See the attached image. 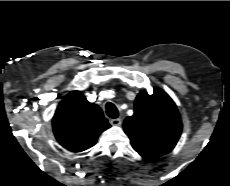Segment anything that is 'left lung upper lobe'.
Returning a JSON list of instances; mask_svg holds the SVG:
<instances>
[{
	"label": "left lung upper lobe",
	"instance_id": "5c2ea615",
	"mask_svg": "<svg viewBox=\"0 0 230 186\" xmlns=\"http://www.w3.org/2000/svg\"><path fill=\"white\" fill-rule=\"evenodd\" d=\"M123 126L133 148L149 160L170 152L182 130L174 101L159 88H154L152 95L146 91L138 94L134 115L127 117Z\"/></svg>",
	"mask_w": 230,
	"mask_h": 186
}]
</instances>
